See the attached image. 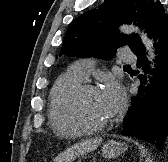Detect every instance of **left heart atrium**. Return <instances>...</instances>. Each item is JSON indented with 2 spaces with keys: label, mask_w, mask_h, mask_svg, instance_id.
I'll return each instance as SVG.
<instances>
[{
  "label": "left heart atrium",
  "mask_w": 168,
  "mask_h": 162,
  "mask_svg": "<svg viewBox=\"0 0 168 162\" xmlns=\"http://www.w3.org/2000/svg\"><path fill=\"white\" fill-rule=\"evenodd\" d=\"M101 96L110 117L122 108L125 101L123 89L113 80L107 82L105 88L101 91Z\"/></svg>",
  "instance_id": "39dd6f15"
}]
</instances>
